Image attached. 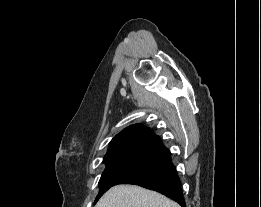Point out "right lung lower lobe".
<instances>
[{
	"label": "right lung lower lobe",
	"instance_id": "1",
	"mask_svg": "<svg viewBox=\"0 0 261 207\" xmlns=\"http://www.w3.org/2000/svg\"><path fill=\"white\" fill-rule=\"evenodd\" d=\"M124 184L139 185L160 192L185 207L181 183L171 159L129 179Z\"/></svg>",
	"mask_w": 261,
	"mask_h": 207
}]
</instances>
